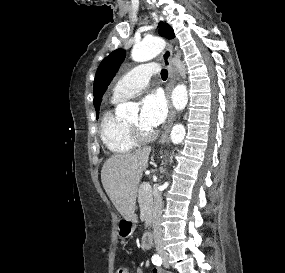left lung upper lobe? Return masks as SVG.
Returning <instances> with one entry per match:
<instances>
[{
    "label": "left lung upper lobe",
    "instance_id": "5c2ea615",
    "mask_svg": "<svg viewBox=\"0 0 285 273\" xmlns=\"http://www.w3.org/2000/svg\"><path fill=\"white\" fill-rule=\"evenodd\" d=\"M159 34L166 38H174L173 29L167 23L160 24ZM125 55L126 53L123 49H117L107 56L98 67L94 81V106L97 118L102 96L114 78L119 66L124 61Z\"/></svg>",
    "mask_w": 285,
    "mask_h": 273
}]
</instances>
